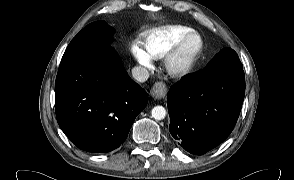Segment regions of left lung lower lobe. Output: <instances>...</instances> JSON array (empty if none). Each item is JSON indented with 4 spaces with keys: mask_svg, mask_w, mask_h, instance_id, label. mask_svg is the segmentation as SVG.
<instances>
[{
    "mask_svg": "<svg viewBox=\"0 0 294 180\" xmlns=\"http://www.w3.org/2000/svg\"><path fill=\"white\" fill-rule=\"evenodd\" d=\"M184 76L168 93L169 131L186 151L202 155L232 132L245 95L243 67Z\"/></svg>",
    "mask_w": 294,
    "mask_h": 180,
    "instance_id": "1",
    "label": "left lung lower lobe"
}]
</instances>
